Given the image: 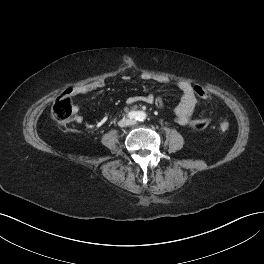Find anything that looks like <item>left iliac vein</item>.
<instances>
[{"instance_id":"obj_1","label":"left iliac vein","mask_w":264,"mask_h":264,"mask_svg":"<svg viewBox=\"0 0 264 264\" xmlns=\"http://www.w3.org/2000/svg\"><path fill=\"white\" fill-rule=\"evenodd\" d=\"M131 124H135V122H134V121H132V122H131Z\"/></svg>"}]
</instances>
